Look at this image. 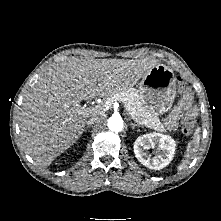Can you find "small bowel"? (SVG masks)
Returning a JSON list of instances; mask_svg holds the SVG:
<instances>
[{
	"label": "small bowel",
	"mask_w": 221,
	"mask_h": 221,
	"mask_svg": "<svg viewBox=\"0 0 221 221\" xmlns=\"http://www.w3.org/2000/svg\"><path fill=\"white\" fill-rule=\"evenodd\" d=\"M187 110L195 111V107L192 105L191 99L186 100V99L182 98L180 100L179 104L173 108L171 113L166 118V120H165L166 126L170 130H175L177 127V121L179 120L181 114Z\"/></svg>",
	"instance_id": "c3829d8e"
}]
</instances>
